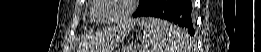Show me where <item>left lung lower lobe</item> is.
<instances>
[{"label":"left lung lower lobe","mask_w":261,"mask_h":52,"mask_svg":"<svg viewBox=\"0 0 261 52\" xmlns=\"http://www.w3.org/2000/svg\"><path fill=\"white\" fill-rule=\"evenodd\" d=\"M134 17L151 16L166 19L194 35V19L190 0H153Z\"/></svg>","instance_id":"obj_1"}]
</instances>
